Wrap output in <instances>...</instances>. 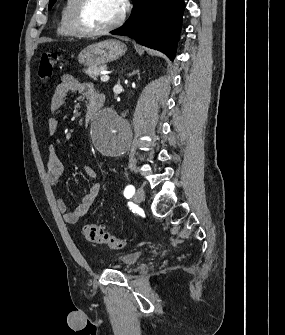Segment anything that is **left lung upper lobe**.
Listing matches in <instances>:
<instances>
[{"label":"left lung upper lobe","instance_id":"left-lung-upper-lobe-1","mask_svg":"<svg viewBox=\"0 0 285 335\" xmlns=\"http://www.w3.org/2000/svg\"><path fill=\"white\" fill-rule=\"evenodd\" d=\"M57 0H50L49 2V8L48 9H51V7L54 5V3L56 2Z\"/></svg>","mask_w":285,"mask_h":335}]
</instances>
